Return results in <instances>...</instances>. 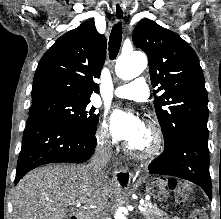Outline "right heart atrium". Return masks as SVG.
Returning <instances> with one entry per match:
<instances>
[{
    "label": "right heart atrium",
    "mask_w": 221,
    "mask_h": 219,
    "mask_svg": "<svg viewBox=\"0 0 221 219\" xmlns=\"http://www.w3.org/2000/svg\"><path fill=\"white\" fill-rule=\"evenodd\" d=\"M108 137H109L108 128H107L106 124L104 122H102L98 128V131H97V139L103 145H107L108 144Z\"/></svg>",
    "instance_id": "1"
}]
</instances>
